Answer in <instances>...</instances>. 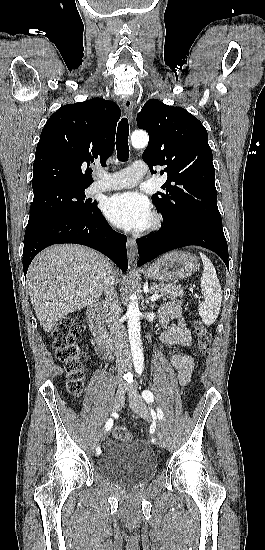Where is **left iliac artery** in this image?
I'll return each mask as SVG.
<instances>
[{"instance_id":"left-iliac-artery-1","label":"left iliac artery","mask_w":265,"mask_h":550,"mask_svg":"<svg viewBox=\"0 0 265 550\" xmlns=\"http://www.w3.org/2000/svg\"><path fill=\"white\" fill-rule=\"evenodd\" d=\"M142 397L144 398V400L149 404L150 402H153L154 401V396H153V393L149 390H144L142 392ZM163 411L160 409V408H157V417L159 419H163ZM152 442L154 443L155 440L152 439Z\"/></svg>"}]
</instances>
